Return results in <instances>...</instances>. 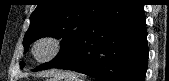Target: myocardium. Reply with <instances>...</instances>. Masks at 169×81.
<instances>
[{"label":"myocardium","instance_id":"1","mask_svg":"<svg viewBox=\"0 0 169 81\" xmlns=\"http://www.w3.org/2000/svg\"><path fill=\"white\" fill-rule=\"evenodd\" d=\"M42 43H48L52 46L51 53L45 58H40L36 54L37 47ZM63 47H64V42L62 38L54 34H47V35H43L39 37L38 39L34 41L32 45V49H31V53L36 62L40 64H45V63H49L55 60L62 52Z\"/></svg>","mask_w":169,"mask_h":81}]
</instances>
